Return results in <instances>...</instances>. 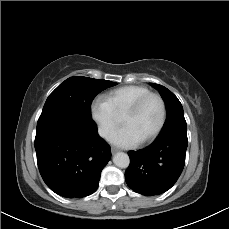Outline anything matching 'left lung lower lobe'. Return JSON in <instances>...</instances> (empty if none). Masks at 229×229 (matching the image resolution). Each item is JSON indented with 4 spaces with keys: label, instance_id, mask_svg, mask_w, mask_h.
Wrapping results in <instances>:
<instances>
[{
    "label": "left lung lower lobe",
    "instance_id": "obj_1",
    "mask_svg": "<svg viewBox=\"0 0 229 229\" xmlns=\"http://www.w3.org/2000/svg\"><path fill=\"white\" fill-rule=\"evenodd\" d=\"M186 129L178 128L157 138L143 150L130 151L125 180L134 192L153 196L171 188L185 165Z\"/></svg>",
    "mask_w": 229,
    "mask_h": 229
}]
</instances>
